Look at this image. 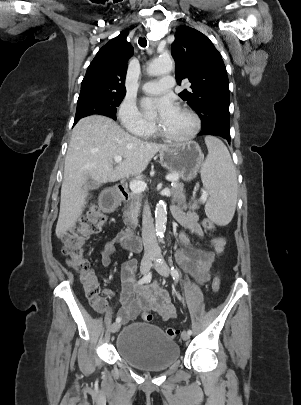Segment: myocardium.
I'll return each instance as SVG.
<instances>
[{"label": "myocardium", "instance_id": "obj_1", "mask_svg": "<svg viewBox=\"0 0 301 405\" xmlns=\"http://www.w3.org/2000/svg\"><path fill=\"white\" fill-rule=\"evenodd\" d=\"M179 110L182 111L183 113L187 114L193 121V126L189 133L182 135V136H176V135H171V134L167 133L165 130H163L161 128V126L159 124H157L155 127L156 132L159 136H161L164 139L171 141V142L189 141L198 134L200 127H201L200 118L195 111H193L192 109H190L188 107H181Z\"/></svg>", "mask_w": 301, "mask_h": 405}]
</instances>
